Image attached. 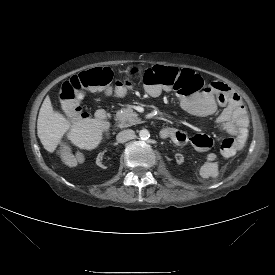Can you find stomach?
<instances>
[{
  "mask_svg": "<svg viewBox=\"0 0 275 275\" xmlns=\"http://www.w3.org/2000/svg\"><path fill=\"white\" fill-rule=\"evenodd\" d=\"M125 73L129 78H133L134 76L140 75L142 69L139 66H130L126 69Z\"/></svg>",
  "mask_w": 275,
  "mask_h": 275,
  "instance_id": "1",
  "label": "stomach"
}]
</instances>
